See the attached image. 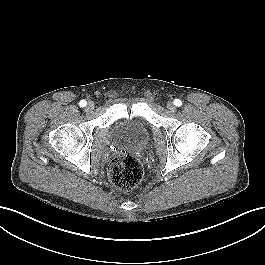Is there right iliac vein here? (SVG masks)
Returning <instances> with one entry per match:
<instances>
[{"label":"right iliac vein","mask_w":265,"mask_h":265,"mask_svg":"<svg viewBox=\"0 0 265 265\" xmlns=\"http://www.w3.org/2000/svg\"><path fill=\"white\" fill-rule=\"evenodd\" d=\"M93 109H94V103L92 101L88 102L87 110H93Z\"/></svg>","instance_id":"obj_1"}]
</instances>
